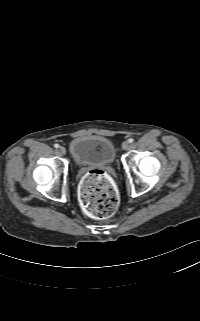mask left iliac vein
<instances>
[{
  "label": "left iliac vein",
  "instance_id": "4c4485c4",
  "mask_svg": "<svg viewBox=\"0 0 200 321\" xmlns=\"http://www.w3.org/2000/svg\"><path fill=\"white\" fill-rule=\"evenodd\" d=\"M129 147H130L129 142L125 141V142L122 143V148H123L124 150H128Z\"/></svg>",
  "mask_w": 200,
  "mask_h": 321
}]
</instances>
